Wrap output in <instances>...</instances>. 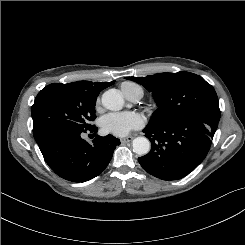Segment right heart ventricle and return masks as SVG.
Masks as SVG:
<instances>
[{
  "instance_id": "e07e8e85",
  "label": "right heart ventricle",
  "mask_w": 245,
  "mask_h": 245,
  "mask_svg": "<svg viewBox=\"0 0 245 245\" xmlns=\"http://www.w3.org/2000/svg\"><path fill=\"white\" fill-rule=\"evenodd\" d=\"M120 88H121L122 93L127 98L131 94H133L134 92H137V91H141L143 93V90H142V88L139 85H137V84H135L133 82H129V81L121 83Z\"/></svg>"
}]
</instances>
